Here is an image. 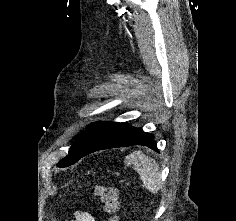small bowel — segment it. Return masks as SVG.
Here are the masks:
<instances>
[{
  "instance_id": "c3829d8e",
  "label": "small bowel",
  "mask_w": 236,
  "mask_h": 221,
  "mask_svg": "<svg viewBox=\"0 0 236 221\" xmlns=\"http://www.w3.org/2000/svg\"><path fill=\"white\" fill-rule=\"evenodd\" d=\"M74 216L75 219L71 221H95L94 217L86 211L77 210L74 212Z\"/></svg>"
}]
</instances>
